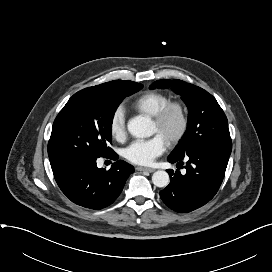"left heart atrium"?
I'll return each instance as SVG.
<instances>
[{
    "mask_svg": "<svg viewBox=\"0 0 272 272\" xmlns=\"http://www.w3.org/2000/svg\"><path fill=\"white\" fill-rule=\"evenodd\" d=\"M166 146V140L160 134H156L149 139L132 142L125 148L123 154L131 163L148 165L165 151Z\"/></svg>",
    "mask_w": 272,
    "mask_h": 272,
    "instance_id": "obj_1",
    "label": "left heart atrium"
}]
</instances>
